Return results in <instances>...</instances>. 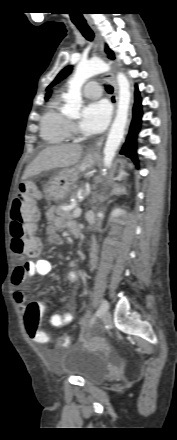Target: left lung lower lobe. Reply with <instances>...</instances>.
I'll list each match as a JSON object with an SVG mask.
<instances>
[{
  "label": "left lung lower lobe",
  "instance_id": "1",
  "mask_svg": "<svg viewBox=\"0 0 177 440\" xmlns=\"http://www.w3.org/2000/svg\"><path fill=\"white\" fill-rule=\"evenodd\" d=\"M135 90V103L133 107V119L130 127V132L127 137V140L121 150V154H124L130 157L135 163H138L137 154H136V137L137 133L140 129L141 117H142V108H141V97L138 91V86L136 85Z\"/></svg>",
  "mask_w": 177,
  "mask_h": 440
}]
</instances>
